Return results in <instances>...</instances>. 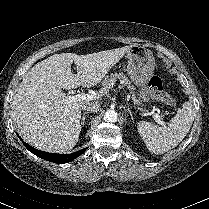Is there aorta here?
I'll return each mask as SVG.
<instances>
[{
    "mask_svg": "<svg viewBox=\"0 0 209 209\" xmlns=\"http://www.w3.org/2000/svg\"><path fill=\"white\" fill-rule=\"evenodd\" d=\"M117 118H118V114L115 110H107L104 114V120L105 122H110V123H113V122H116L117 121Z\"/></svg>",
    "mask_w": 209,
    "mask_h": 209,
    "instance_id": "762f6f07",
    "label": "aorta"
}]
</instances>
